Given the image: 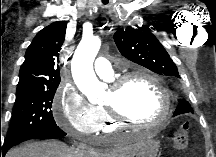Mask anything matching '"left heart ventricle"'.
I'll use <instances>...</instances> for the list:
<instances>
[{
    "label": "left heart ventricle",
    "mask_w": 216,
    "mask_h": 157,
    "mask_svg": "<svg viewBox=\"0 0 216 157\" xmlns=\"http://www.w3.org/2000/svg\"><path fill=\"white\" fill-rule=\"evenodd\" d=\"M114 100L109 91L105 103ZM117 101L126 115L140 121L157 119L163 108L162 96L158 89L153 83L142 78L130 79L122 88Z\"/></svg>",
    "instance_id": "1"
}]
</instances>
